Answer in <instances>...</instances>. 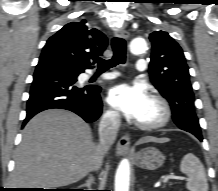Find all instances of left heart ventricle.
<instances>
[{
  "label": "left heart ventricle",
  "instance_id": "1",
  "mask_svg": "<svg viewBox=\"0 0 218 191\" xmlns=\"http://www.w3.org/2000/svg\"><path fill=\"white\" fill-rule=\"evenodd\" d=\"M158 116H159V109L157 105L151 100H149L148 104L146 105L145 109L143 110L138 120L141 122H150L157 119Z\"/></svg>",
  "mask_w": 218,
  "mask_h": 191
}]
</instances>
